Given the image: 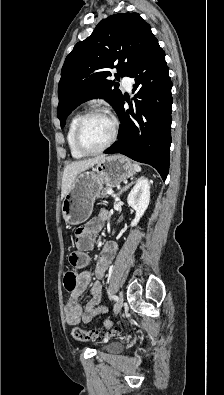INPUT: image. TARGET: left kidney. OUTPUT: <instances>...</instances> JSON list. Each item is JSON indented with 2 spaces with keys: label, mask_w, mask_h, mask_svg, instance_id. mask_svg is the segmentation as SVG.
Wrapping results in <instances>:
<instances>
[{
  "label": "left kidney",
  "mask_w": 224,
  "mask_h": 395,
  "mask_svg": "<svg viewBox=\"0 0 224 395\" xmlns=\"http://www.w3.org/2000/svg\"><path fill=\"white\" fill-rule=\"evenodd\" d=\"M150 201V184L147 178L141 177L130 191L127 203L136 211L135 218L131 222L134 227L146 211Z\"/></svg>",
  "instance_id": "left-kidney-1"
}]
</instances>
